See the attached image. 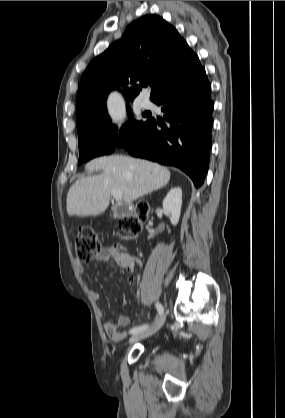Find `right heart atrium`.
Wrapping results in <instances>:
<instances>
[{
  "label": "right heart atrium",
  "mask_w": 285,
  "mask_h": 418,
  "mask_svg": "<svg viewBox=\"0 0 285 418\" xmlns=\"http://www.w3.org/2000/svg\"><path fill=\"white\" fill-rule=\"evenodd\" d=\"M126 132L118 127H112L108 131V141L112 146H121L126 141Z\"/></svg>",
  "instance_id": "d8ad5b80"
}]
</instances>
